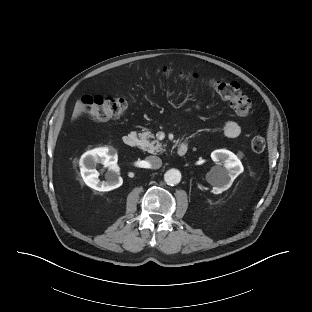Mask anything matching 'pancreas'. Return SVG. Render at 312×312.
<instances>
[{"label":"pancreas","mask_w":312,"mask_h":312,"mask_svg":"<svg viewBox=\"0 0 312 312\" xmlns=\"http://www.w3.org/2000/svg\"><path fill=\"white\" fill-rule=\"evenodd\" d=\"M140 138V147L141 149L152 153H162L165 151V145H162L158 140L150 141L149 138H154V135L150 131H145L143 133H139Z\"/></svg>","instance_id":"pancreas-1"}]
</instances>
